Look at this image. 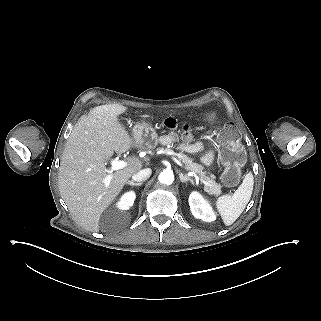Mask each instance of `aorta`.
<instances>
[{"label": "aorta", "instance_id": "aorta-1", "mask_svg": "<svg viewBox=\"0 0 321 321\" xmlns=\"http://www.w3.org/2000/svg\"><path fill=\"white\" fill-rule=\"evenodd\" d=\"M174 181V175L171 170H164L159 175V182L162 184L170 185Z\"/></svg>", "mask_w": 321, "mask_h": 321}]
</instances>
